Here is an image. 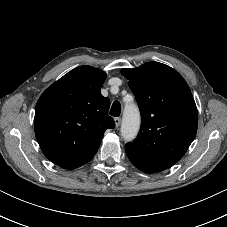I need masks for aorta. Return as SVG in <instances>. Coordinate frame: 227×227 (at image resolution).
Segmentation results:
<instances>
[{"label": "aorta", "mask_w": 227, "mask_h": 227, "mask_svg": "<svg viewBox=\"0 0 227 227\" xmlns=\"http://www.w3.org/2000/svg\"><path fill=\"white\" fill-rule=\"evenodd\" d=\"M140 128V113L135 105H127L123 113L121 134L125 141L133 140Z\"/></svg>", "instance_id": "obj_1"}]
</instances>
